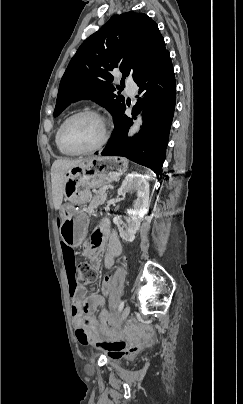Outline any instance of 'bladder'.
Wrapping results in <instances>:
<instances>
[{"mask_svg": "<svg viewBox=\"0 0 243 404\" xmlns=\"http://www.w3.org/2000/svg\"><path fill=\"white\" fill-rule=\"evenodd\" d=\"M110 361H111L112 363H118V362H119V358L113 357V358L110 359Z\"/></svg>", "mask_w": 243, "mask_h": 404, "instance_id": "31cf9c89", "label": "bladder"}]
</instances>
